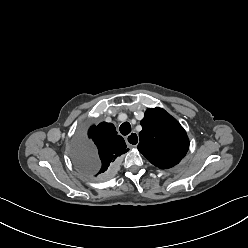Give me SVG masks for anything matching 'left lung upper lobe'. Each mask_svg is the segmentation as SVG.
<instances>
[{
	"label": "left lung upper lobe",
	"instance_id": "1",
	"mask_svg": "<svg viewBox=\"0 0 248 248\" xmlns=\"http://www.w3.org/2000/svg\"><path fill=\"white\" fill-rule=\"evenodd\" d=\"M138 150L156 167L178 164L189 149V139L180 123L161 108H151L141 120Z\"/></svg>",
	"mask_w": 248,
	"mask_h": 248
}]
</instances>
